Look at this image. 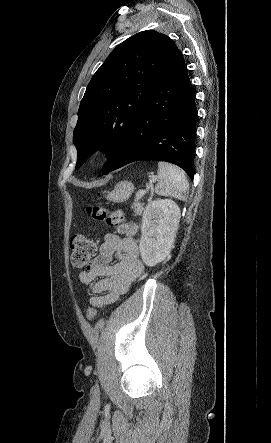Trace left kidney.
<instances>
[{
    "label": "left kidney",
    "instance_id": "5707ae66",
    "mask_svg": "<svg viewBox=\"0 0 271 443\" xmlns=\"http://www.w3.org/2000/svg\"><path fill=\"white\" fill-rule=\"evenodd\" d=\"M180 218V208L172 200L149 202L143 212L139 243L141 257L146 265L153 267L169 255Z\"/></svg>",
    "mask_w": 271,
    "mask_h": 443
}]
</instances>
